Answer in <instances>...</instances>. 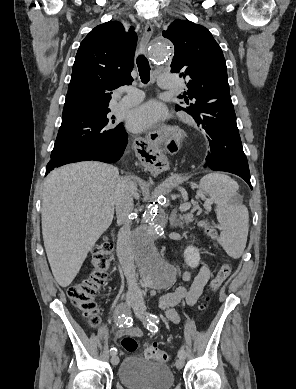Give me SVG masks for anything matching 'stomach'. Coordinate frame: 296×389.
Wrapping results in <instances>:
<instances>
[{
    "instance_id": "stomach-1",
    "label": "stomach",
    "mask_w": 296,
    "mask_h": 389,
    "mask_svg": "<svg viewBox=\"0 0 296 389\" xmlns=\"http://www.w3.org/2000/svg\"><path fill=\"white\" fill-rule=\"evenodd\" d=\"M149 173L153 177H159L162 173V169H149Z\"/></svg>"
}]
</instances>
